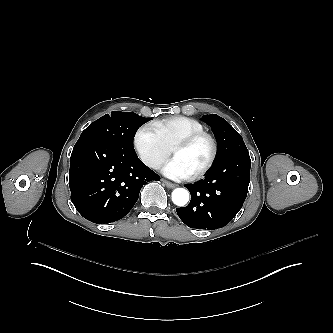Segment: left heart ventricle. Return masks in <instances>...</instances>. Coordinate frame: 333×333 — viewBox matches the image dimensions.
<instances>
[{"instance_id":"1","label":"left heart ventricle","mask_w":333,"mask_h":333,"mask_svg":"<svg viewBox=\"0 0 333 333\" xmlns=\"http://www.w3.org/2000/svg\"><path fill=\"white\" fill-rule=\"evenodd\" d=\"M171 155L192 175L207 161L210 145L207 140H202L191 147L179 148Z\"/></svg>"}]
</instances>
